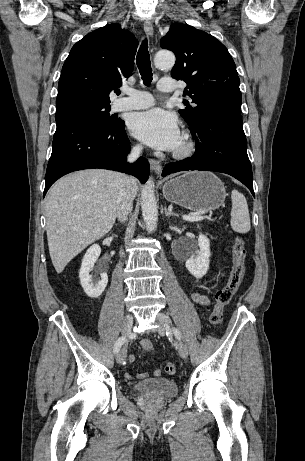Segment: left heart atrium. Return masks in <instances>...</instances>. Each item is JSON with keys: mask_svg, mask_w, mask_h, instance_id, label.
I'll use <instances>...</instances> for the list:
<instances>
[{"mask_svg": "<svg viewBox=\"0 0 305 461\" xmlns=\"http://www.w3.org/2000/svg\"><path fill=\"white\" fill-rule=\"evenodd\" d=\"M132 134L160 150H174L181 143L177 117L160 108L135 114L130 121Z\"/></svg>", "mask_w": 305, "mask_h": 461, "instance_id": "left-heart-atrium-1", "label": "left heart atrium"}]
</instances>
